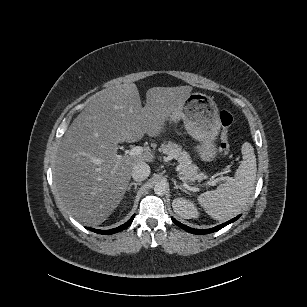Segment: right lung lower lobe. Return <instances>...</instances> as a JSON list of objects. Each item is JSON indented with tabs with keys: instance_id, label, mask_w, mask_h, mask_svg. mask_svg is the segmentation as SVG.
<instances>
[{
	"instance_id": "1",
	"label": "right lung lower lobe",
	"mask_w": 307,
	"mask_h": 307,
	"mask_svg": "<svg viewBox=\"0 0 307 307\" xmlns=\"http://www.w3.org/2000/svg\"><path fill=\"white\" fill-rule=\"evenodd\" d=\"M134 216L135 215H133L130 218V220H128L125 224H123V225H121L117 228L111 229V230H97V229H93V228H88V229L93 231V232L99 233V234H114V233H117V232L127 228L132 223Z\"/></svg>"
}]
</instances>
